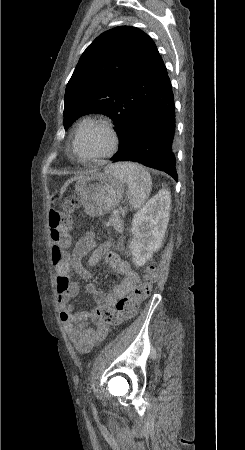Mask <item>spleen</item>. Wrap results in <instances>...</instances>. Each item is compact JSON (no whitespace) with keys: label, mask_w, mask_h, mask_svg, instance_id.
<instances>
[{"label":"spleen","mask_w":245,"mask_h":450,"mask_svg":"<svg viewBox=\"0 0 245 450\" xmlns=\"http://www.w3.org/2000/svg\"><path fill=\"white\" fill-rule=\"evenodd\" d=\"M112 171L119 179L126 182L131 207L134 210L140 209L151 192L150 173L142 165L130 162L117 163L113 165Z\"/></svg>","instance_id":"1"}]
</instances>
